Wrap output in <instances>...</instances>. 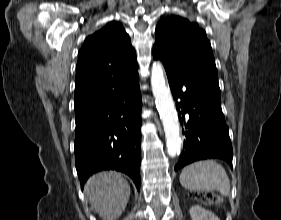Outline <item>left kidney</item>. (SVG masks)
<instances>
[{
	"mask_svg": "<svg viewBox=\"0 0 281 220\" xmlns=\"http://www.w3.org/2000/svg\"><path fill=\"white\" fill-rule=\"evenodd\" d=\"M192 220H220L214 213L199 205H194L189 210Z\"/></svg>",
	"mask_w": 281,
	"mask_h": 220,
	"instance_id": "5707ae66",
	"label": "left kidney"
}]
</instances>
